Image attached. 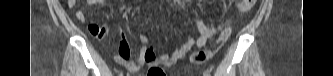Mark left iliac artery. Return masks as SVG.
I'll list each match as a JSON object with an SVG mask.
<instances>
[{
  "mask_svg": "<svg viewBox=\"0 0 333 76\" xmlns=\"http://www.w3.org/2000/svg\"><path fill=\"white\" fill-rule=\"evenodd\" d=\"M204 76H210V74H208V72H204Z\"/></svg>",
  "mask_w": 333,
  "mask_h": 76,
  "instance_id": "44dca946",
  "label": "left iliac artery"
}]
</instances>
